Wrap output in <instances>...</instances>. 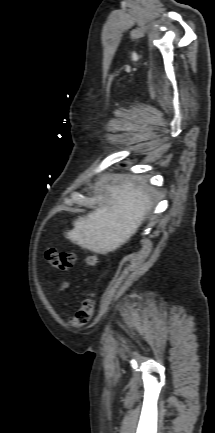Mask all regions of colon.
Listing matches in <instances>:
<instances>
[{
    "mask_svg": "<svg viewBox=\"0 0 215 433\" xmlns=\"http://www.w3.org/2000/svg\"><path fill=\"white\" fill-rule=\"evenodd\" d=\"M47 262L54 268L61 271H68L73 268L76 261V254L74 252L59 251L55 248H47L45 251ZM95 261L94 256H90L87 260L88 264H93ZM95 309V296L93 293L86 294L81 302L80 308L71 319L73 327H82L89 323Z\"/></svg>",
    "mask_w": 215,
    "mask_h": 433,
    "instance_id": "5ec220e1",
    "label": "colon"
}]
</instances>
